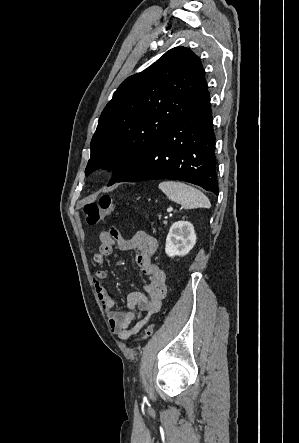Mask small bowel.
I'll list each match as a JSON object with an SVG mask.
<instances>
[{"mask_svg":"<svg viewBox=\"0 0 299 443\" xmlns=\"http://www.w3.org/2000/svg\"><path fill=\"white\" fill-rule=\"evenodd\" d=\"M100 246L94 254V262L104 265L106 258L115 249L128 251L137 250V265L147 276L148 281L143 291H134L127 296V311L116 309V301L103 285L108 274L104 269L94 272V281L98 298L108 312L111 332L119 339L126 340L138 333L151 316L158 313L166 295V274L152 259L158 248V241L143 230L136 231L131 237L125 238L120 231L113 227L99 234ZM138 310L135 312V310ZM133 324L131 328L130 325Z\"/></svg>","mask_w":299,"mask_h":443,"instance_id":"small-bowel-1","label":"small bowel"}]
</instances>
